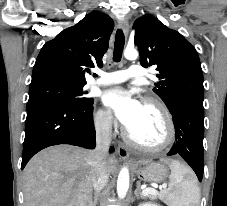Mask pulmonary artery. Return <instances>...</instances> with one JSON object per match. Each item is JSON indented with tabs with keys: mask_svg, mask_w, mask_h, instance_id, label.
<instances>
[{
	"mask_svg": "<svg viewBox=\"0 0 227 206\" xmlns=\"http://www.w3.org/2000/svg\"><path fill=\"white\" fill-rule=\"evenodd\" d=\"M145 76L144 69L139 65H131L128 69L103 73L94 80L95 85H111L127 81L131 78H142Z\"/></svg>",
	"mask_w": 227,
	"mask_h": 206,
	"instance_id": "e3ab8cb5",
	"label": "pulmonary artery"
}]
</instances>
